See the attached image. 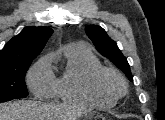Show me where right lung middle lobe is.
<instances>
[{"label": "right lung middle lobe", "mask_w": 165, "mask_h": 120, "mask_svg": "<svg viewBox=\"0 0 165 120\" xmlns=\"http://www.w3.org/2000/svg\"><path fill=\"white\" fill-rule=\"evenodd\" d=\"M32 60L0 62V102L28 95L24 78Z\"/></svg>", "instance_id": "dd1d6c3e"}]
</instances>
